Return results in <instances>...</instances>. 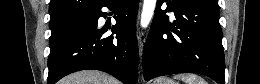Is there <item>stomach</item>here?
<instances>
[{"label":"stomach","instance_id":"obj_1","mask_svg":"<svg viewBox=\"0 0 260 84\" xmlns=\"http://www.w3.org/2000/svg\"><path fill=\"white\" fill-rule=\"evenodd\" d=\"M153 84H178V82L174 81L173 79L162 77L154 81Z\"/></svg>","mask_w":260,"mask_h":84}]
</instances>
